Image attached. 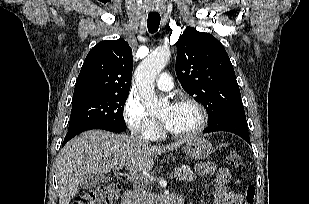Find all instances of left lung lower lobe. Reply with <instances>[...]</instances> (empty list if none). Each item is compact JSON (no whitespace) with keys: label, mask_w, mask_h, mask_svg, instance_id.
<instances>
[{"label":"left lung lower lobe","mask_w":309,"mask_h":204,"mask_svg":"<svg viewBox=\"0 0 309 204\" xmlns=\"http://www.w3.org/2000/svg\"><path fill=\"white\" fill-rule=\"evenodd\" d=\"M216 131L232 132L251 144L244 109L229 111L220 115L212 122H208V127L205 129L204 133Z\"/></svg>","instance_id":"obj_1"}]
</instances>
